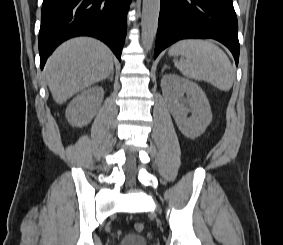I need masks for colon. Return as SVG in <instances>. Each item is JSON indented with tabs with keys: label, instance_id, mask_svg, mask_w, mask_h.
<instances>
[{
	"label": "colon",
	"instance_id": "1",
	"mask_svg": "<svg viewBox=\"0 0 283 245\" xmlns=\"http://www.w3.org/2000/svg\"><path fill=\"white\" fill-rule=\"evenodd\" d=\"M134 230L136 231V232H142L143 230H144V224L143 223H141V222H137V223H135L134 224Z\"/></svg>",
	"mask_w": 283,
	"mask_h": 245
}]
</instances>
